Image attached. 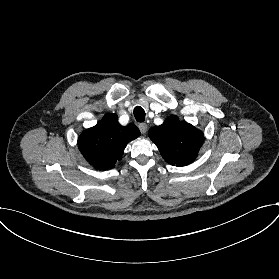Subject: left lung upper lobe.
Segmentation results:
<instances>
[{
    "instance_id": "obj_1",
    "label": "left lung upper lobe",
    "mask_w": 279,
    "mask_h": 279,
    "mask_svg": "<svg viewBox=\"0 0 279 279\" xmlns=\"http://www.w3.org/2000/svg\"><path fill=\"white\" fill-rule=\"evenodd\" d=\"M149 137L157 145L165 161L178 167L192 163L204 142L200 130L175 116L168 117L162 125L151 128Z\"/></svg>"
}]
</instances>
